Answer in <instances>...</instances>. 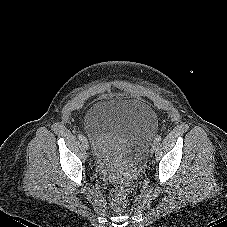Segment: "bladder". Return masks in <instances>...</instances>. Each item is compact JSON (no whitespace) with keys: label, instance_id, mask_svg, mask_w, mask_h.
<instances>
[{"label":"bladder","instance_id":"obj_1","mask_svg":"<svg viewBox=\"0 0 227 227\" xmlns=\"http://www.w3.org/2000/svg\"><path fill=\"white\" fill-rule=\"evenodd\" d=\"M84 130L95 143L96 160L140 158L158 127L156 113L135 99L104 100L84 116Z\"/></svg>","mask_w":227,"mask_h":227}]
</instances>
